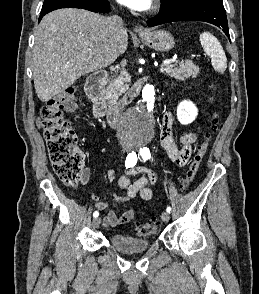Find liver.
I'll return each instance as SVG.
<instances>
[{
	"instance_id": "1",
	"label": "liver",
	"mask_w": 259,
	"mask_h": 294,
	"mask_svg": "<svg viewBox=\"0 0 259 294\" xmlns=\"http://www.w3.org/2000/svg\"><path fill=\"white\" fill-rule=\"evenodd\" d=\"M33 78L42 102L77 79L112 64L127 50L128 33L117 39L108 18L83 9H59L47 14L35 30Z\"/></svg>"
}]
</instances>
